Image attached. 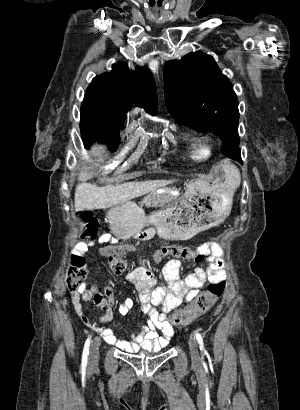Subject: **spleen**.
Segmentation results:
<instances>
[{"label":"spleen","mask_w":300,"mask_h":410,"mask_svg":"<svg viewBox=\"0 0 300 410\" xmlns=\"http://www.w3.org/2000/svg\"><path fill=\"white\" fill-rule=\"evenodd\" d=\"M223 171L225 172V178L227 182H230L231 187L236 189L241 182V176L239 173V170L234 166L229 163H225L222 166Z\"/></svg>","instance_id":"obj_1"}]
</instances>
